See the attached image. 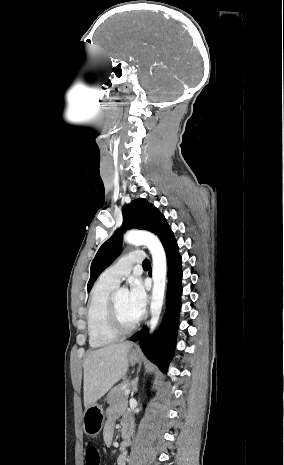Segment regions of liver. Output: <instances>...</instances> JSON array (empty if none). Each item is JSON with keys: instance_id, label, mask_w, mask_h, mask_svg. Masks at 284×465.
I'll return each instance as SVG.
<instances>
[{"instance_id": "6515ba94", "label": "liver", "mask_w": 284, "mask_h": 465, "mask_svg": "<svg viewBox=\"0 0 284 465\" xmlns=\"http://www.w3.org/2000/svg\"><path fill=\"white\" fill-rule=\"evenodd\" d=\"M131 347L132 343H118L87 353L83 363L85 409L95 405L98 399L106 395L126 375L129 367L127 355Z\"/></svg>"}]
</instances>
